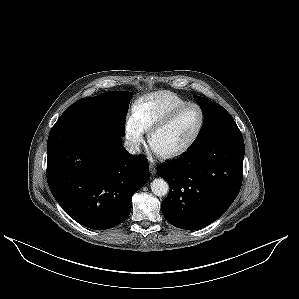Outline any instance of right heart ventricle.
Returning a JSON list of instances; mask_svg holds the SVG:
<instances>
[{"label": "right heart ventricle", "mask_w": 299, "mask_h": 299, "mask_svg": "<svg viewBox=\"0 0 299 299\" xmlns=\"http://www.w3.org/2000/svg\"><path fill=\"white\" fill-rule=\"evenodd\" d=\"M187 103L188 100L173 92L158 91L139 98L135 103L133 114L143 127L149 130L173 110Z\"/></svg>", "instance_id": "e07e8e85"}]
</instances>
